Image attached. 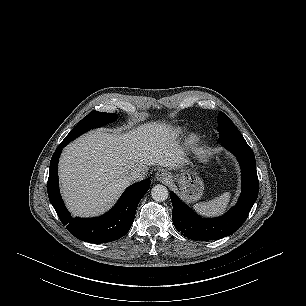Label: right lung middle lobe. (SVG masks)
Masks as SVG:
<instances>
[{"label":"right lung middle lobe","instance_id":"right-lung-middle-lobe-1","mask_svg":"<svg viewBox=\"0 0 306 306\" xmlns=\"http://www.w3.org/2000/svg\"><path fill=\"white\" fill-rule=\"evenodd\" d=\"M116 119L115 113H104L98 111H92L87 116H85L65 137V141L70 142L74 138L78 137L85 131L100 127L103 124H107Z\"/></svg>","mask_w":306,"mask_h":306}]
</instances>
